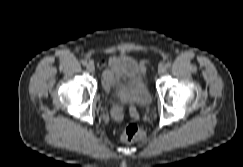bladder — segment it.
<instances>
[{
  "mask_svg": "<svg viewBox=\"0 0 243 167\" xmlns=\"http://www.w3.org/2000/svg\"><path fill=\"white\" fill-rule=\"evenodd\" d=\"M111 72L118 83L117 93L120 98H132L144 108L152 105V89L135 57L126 54L116 57L111 64Z\"/></svg>",
  "mask_w": 243,
  "mask_h": 167,
  "instance_id": "obj_1",
  "label": "bladder"
}]
</instances>
